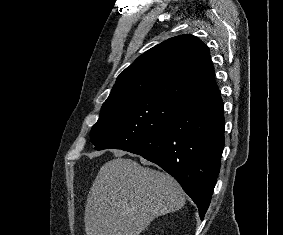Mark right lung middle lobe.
I'll return each instance as SVG.
<instances>
[{"label":"right lung middle lobe","instance_id":"obj_1","mask_svg":"<svg viewBox=\"0 0 283 235\" xmlns=\"http://www.w3.org/2000/svg\"><path fill=\"white\" fill-rule=\"evenodd\" d=\"M183 106L168 98H131L103 104L91 129V142L96 150H124L164 130Z\"/></svg>","mask_w":283,"mask_h":235}]
</instances>
